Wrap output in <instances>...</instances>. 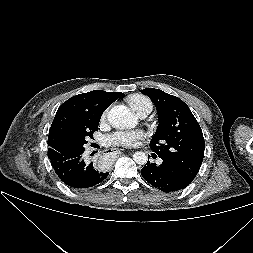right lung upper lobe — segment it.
<instances>
[{
	"instance_id": "right-lung-upper-lobe-1",
	"label": "right lung upper lobe",
	"mask_w": 253,
	"mask_h": 253,
	"mask_svg": "<svg viewBox=\"0 0 253 253\" xmlns=\"http://www.w3.org/2000/svg\"><path fill=\"white\" fill-rule=\"evenodd\" d=\"M121 92L94 90L65 101L57 110L48 136V153L60 152L61 144L78 135L91 132L103 111L119 97Z\"/></svg>"
}]
</instances>
